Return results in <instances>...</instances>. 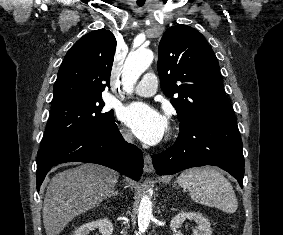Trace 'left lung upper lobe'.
I'll use <instances>...</instances> for the list:
<instances>
[{"label": "left lung upper lobe", "instance_id": "5c2ea615", "mask_svg": "<svg viewBox=\"0 0 283 235\" xmlns=\"http://www.w3.org/2000/svg\"><path fill=\"white\" fill-rule=\"evenodd\" d=\"M158 52L161 88L176 109L180 131L235 117L217 58L200 32L183 24L172 26L163 34Z\"/></svg>", "mask_w": 283, "mask_h": 235}]
</instances>
